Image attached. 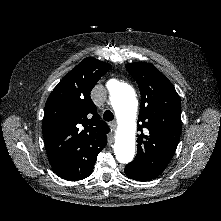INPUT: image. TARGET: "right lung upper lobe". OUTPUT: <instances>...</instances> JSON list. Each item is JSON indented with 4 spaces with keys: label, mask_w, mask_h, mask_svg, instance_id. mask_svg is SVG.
Masks as SVG:
<instances>
[{
    "label": "right lung upper lobe",
    "mask_w": 221,
    "mask_h": 221,
    "mask_svg": "<svg viewBox=\"0 0 221 221\" xmlns=\"http://www.w3.org/2000/svg\"><path fill=\"white\" fill-rule=\"evenodd\" d=\"M111 65L93 57L82 60L47 99L42 131L49 162L68 181L88 177L107 144L108 125L100 120L90 97Z\"/></svg>",
    "instance_id": "1"
}]
</instances>
